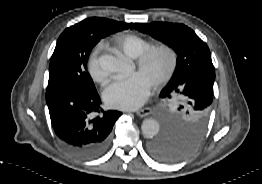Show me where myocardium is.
<instances>
[{
    "mask_svg": "<svg viewBox=\"0 0 262 184\" xmlns=\"http://www.w3.org/2000/svg\"><path fill=\"white\" fill-rule=\"evenodd\" d=\"M158 52H164L169 56V65L164 73L158 76L153 82L152 85L155 88L161 87L165 85L167 82L171 80L174 74L177 71L179 65V52L178 50L168 43H158L152 45L148 49H146L136 61V67L138 70H143L151 58Z\"/></svg>",
    "mask_w": 262,
    "mask_h": 184,
    "instance_id": "myocardium-1",
    "label": "myocardium"
}]
</instances>
